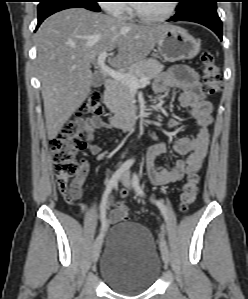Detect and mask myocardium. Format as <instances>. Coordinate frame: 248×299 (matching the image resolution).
Segmentation results:
<instances>
[{"mask_svg":"<svg viewBox=\"0 0 248 299\" xmlns=\"http://www.w3.org/2000/svg\"><path fill=\"white\" fill-rule=\"evenodd\" d=\"M177 3L175 0H168V8L165 13L158 16H148L143 14L139 9L137 4L132 5V12L135 17L140 21L146 23H159L170 19L176 12Z\"/></svg>","mask_w":248,"mask_h":299,"instance_id":"obj_1","label":"myocardium"}]
</instances>
